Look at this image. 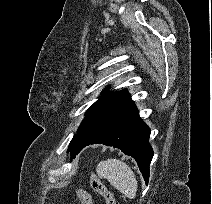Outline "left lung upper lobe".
<instances>
[{"mask_svg":"<svg viewBox=\"0 0 212 204\" xmlns=\"http://www.w3.org/2000/svg\"><path fill=\"white\" fill-rule=\"evenodd\" d=\"M102 93H105V91H103ZM128 97L129 93H127L126 90H122L119 92L106 94L103 97L99 98V100L96 101L87 111L86 117L78 128L77 134L74 135L72 141L70 142L68 152H70V150L72 149L74 141L79 134H81L90 126L99 121L102 117H104L107 113L113 110L117 105H119Z\"/></svg>","mask_w":212,"mask_h":204,"instance_id":"obj_1","label":"left lung upper lobe"}]
</instances>
